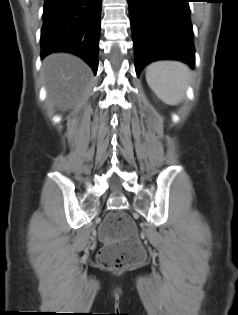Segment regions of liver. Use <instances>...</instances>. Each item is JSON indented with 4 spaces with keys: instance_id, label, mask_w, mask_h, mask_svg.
Returning a JSON list of instances; mask_svg holds the SVG:
<instances>
[{
    "instance_id": "liver-1",
    "label": "liver",
    "mask_w": 238,
    "mask_h": 315,
    "mask_svg": "<svg viewBox=\"0 0 238 315\" xmlns=\"http://www.w3.org/2000/svg\"><path fill=\"white\" fill-rule=\"evenodd\" d=\"M42 74L49 101L66 110L87 91L92 71L74 55L53 53L44 59Z\"/></svg>"
}]
</instances>
